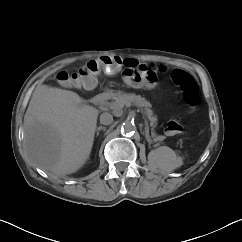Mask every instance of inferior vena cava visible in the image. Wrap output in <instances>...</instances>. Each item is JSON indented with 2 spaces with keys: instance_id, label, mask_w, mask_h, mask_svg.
<instances>
[{
  "instance_id": "1",
  "label": "inferior vena cava",
  "mask_w": 242,
  "mask_h": 242,
  "mask_svg": "<svg viewBox=\"0 0 242 242\" xmlns=\"http://www.w3.org/2000/svg\"><path fill=\"white\" fill-rule=\"evenodd\" d=\"M113 122V116L108 113L104 112L100 115V123L103 125H110Z\"/></svg>"
}]
</instances>
